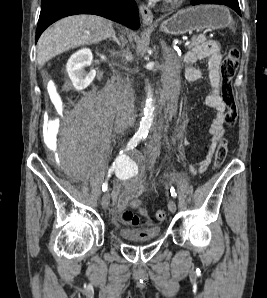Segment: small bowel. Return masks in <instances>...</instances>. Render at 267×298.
I'll return each mask as SVG.
<instances>
[{
	"label": "small bowel",
	"instance_id": "c3829d8e",
	"mask_svg": "<svg viewBox=\"0 0 267 298\" xmlns=\"http://www.w3.org/2000/svg\"><path fill=\"white\" fill-rule=\"evenodd\" d=\"M207 59L208 76L211 86V92L205 99L207 106L215 110V116L209 128L210 144L206 157L196 166L199 172H204L211 162L216 142L222 137L224 133L223 125L227 121L226 113L227 107L220 94V64L222 54L219 45L214 41H207L195 46L188 51L184 56L185 77L189 82L198 81L202 77L200 69L195 67L197 61ZM171 113L176 112V106L173 103L170 108ZM146 191L145 185L138 179H132L122 189L119 185H115L113 191V198L119 211H123L130 207L137 210L142 216L147 215V211L143 206V201L138 197ZM133 199V200H132ZM132 200V201H131ZM152 229V228H151ZM151 229H143L139 233L141 235H148Z\"/></svg>",
	"mask_w": 267,
	"mask_h": 298
}]
</instances>
